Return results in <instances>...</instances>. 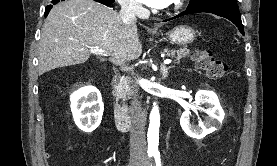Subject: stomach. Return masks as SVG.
I'll list each match as a JSON object with an SVG mask.
<instances>
[{
    "mask_svg": "<svg viewBox=\"0 0 277 166\" xmlns=\"http://www.w3.org/2000/svg\"><path fill=\"white\" fill-rule=\"evenodd\" d=\"M195 30L187 25H179L169 33V39L176 44L187 45L195 40Z\"/></svg>",
    "mask_w": 277,
    "mask_h": 166,
    "instance_id": "1",
    "label": "stomach"
}]
</instances>
